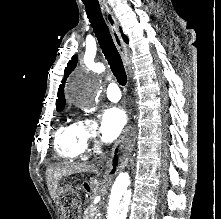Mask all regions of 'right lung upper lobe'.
Instances as JSON below:
<instances>
[{
  "label": "right lung upper lobe",
  "instance_id": "1",
  "mask_svg": "<svg viewBox=\"0 0 221 219\" xmlns=\"http://www.w3.org/2000/svg\"><path fill=\"white\" fill-rule=\"evenodd\" d=\"M122 37L126 43H128V38L122 33ZM77 56L74 55L72 59L68 62L67 67L64 71V78L62 80V84L59 86L58 90V99L56 100V109L57 111H62L65 106V97H64V85L69 74L74 70L77 64Z\"/></svg>",
  "mask_w": 221,
  "mask_h": 219
}]
</instances>
